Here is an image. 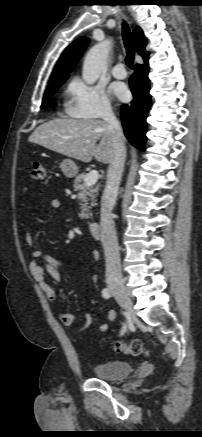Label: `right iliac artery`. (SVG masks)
<instances>
[{"mask_svg": "<svg viewBox=\"0 0 202 437\" xmlns=\"http://www.w3.org/2000/svg\"><path fill=\"white\" fill-rule=\"evenodd\" d=\"M102 296L105 299H109L111 297V291L108 288H104L102 290ZM125 331H126V326H123L120 334L123 335L125 333Z\"/></svg>", "mask_w": 202, "mask_h": 437, "instance_id": "82829eb1", "label": "right iliac artery"}]
</instances>
